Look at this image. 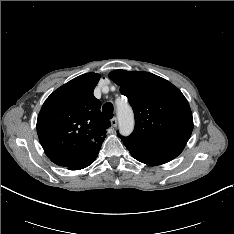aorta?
I'll return each instance as SVG.
<instances>
[{"label": "aorta", "mask_w": 234, "mask_h": 234, "mask_svg": "<svg viewBox=\"0 0 234 234\" xmlns=\"http://www.w3.org/2000/svg\"><path fill=\"white\" fill-rule=\"evenodd\" d=\"M119 120V131L123 136H128L134 129V114L131 107L127 104L119 106L117 109Z\"/></svg>", "instance_id": "aorta-1"}]
</instances>
